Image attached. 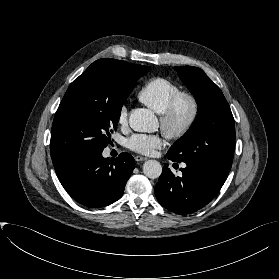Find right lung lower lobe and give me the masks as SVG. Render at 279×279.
Here are the masks:
<instances>
[{"label": "right lung lower lobe", "instance_id": "right-lung-lower-lobe-1", "mask_svg": "<svg viewBox=\"0 0 279 279\" xmlns=\"http://www.w3.org/2000/svg\"><path fill=\"white\" fill-rule=\"evenodd\" d=\"M134 163L128 153L109 160L102 156V151H93L54 163V168L60 183L76 202L88 208H100L122 196Z\"/></svg>", "mask_w": 279, "mask_h": 279}]
</instances>
